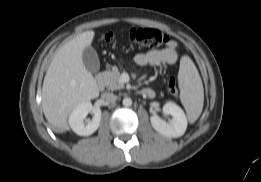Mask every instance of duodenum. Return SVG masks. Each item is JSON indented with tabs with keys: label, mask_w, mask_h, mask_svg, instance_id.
<instances>
[{
	"label": "duodenum",
	"mask_w": 261,
	"mask_h": 182,
	"mask_svg": "<svg viewBox=\"0 0 261 182\" xmlns=\"http://www.w3.org/2000/svg\"><path fill=\"white\" fill-rule=\"evenodd\" d=\"M96 85H97V87H98L99 89H102V88H103V86H104V81H103V78H102L101 75H98V76L96 77ZM140 93H141L142 95L147 96V97H152V96H153V91H152L151 89H149V88L141 89V90H140Z\"/></svg>",
	"instance_id": "duodenum-1"
}]
</instances>
